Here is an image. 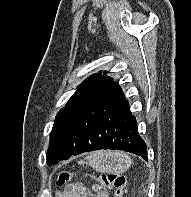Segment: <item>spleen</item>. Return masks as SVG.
Instances as JSON below:
<instances>
[{
	"mask_svg": "<svg viewBox=\"0 0 191 197\" xmlns=\"http://www.w3.org/2000/svg\"><path fill=\"white\" fill-rule=\"evenodd\" d=\"M127 156V155H126ZM128 157V156H127ZM128 159H129V161L131 162V159H130V157H128Z\"/></svg>",
	"mask_w": 191,
	"mask_h": 197,
	"instance_id": "spleen-1",
	"label": "spleen"
}]
</instances>
